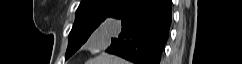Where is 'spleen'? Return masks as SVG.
I'll return each instance as SVG.
<instances>
[{
  "mask_svg": "<svg viewBox=\"0 0 242 64\" xmlns=\"http://www.w3.org/2000/svg\"><path fill=\"white\" fill-rule=\"evenodd\" d=\"M86 64H131V63L114 55L102 54L93 59H90L89 61L86 62Z\"/></svg>",
  "mask_w": 242,
  "mask_h": 64,
  "instance_id": "spleen-1",
  "label": "spleen"
}]
</instances>
